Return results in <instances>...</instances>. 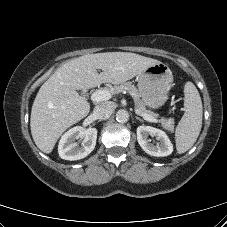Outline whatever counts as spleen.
Wrapping results in <instances>:
<instances>
[{
    "label": "spleen",
    "mask_w": 227,
    "mask_h": 227,
    "mask_svg": "<svg viewBox=\"0 0 227 227\" xmlns=\"http://www.w3.org/2000/svg\"><path fill=\"white\" fill-rule=\"evenodd\" d=\"M185 113L175 131L176 149L179 154L188 151L196 142L202 127L203 108L199 92L188 81L184 86Z\"/></svg>",
    "instance_id": "3e777b00"
}]
</instances>
